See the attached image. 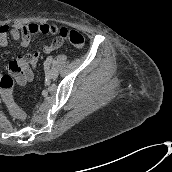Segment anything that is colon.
<instances>
[{
	"mask_svg": "<svg viewBox=\"0 0 172 172\" xmlns=\"http://www.w3.org/2000/svg\"><path fill=\"white\" fill-rule=\"evenodd\" d=\"M37 31L57 33L60 38L65 39L66 41H68L70 44H72L77 48L82 47L85 43L84 36L76 30L68 29L66 27H61L57 29L51 26H39L36 24L27 25L22 28L21 34L23 40L26 41L31 37L33 33ZM11 71H12L11 74H7L0 77V96L3 102L5 103V105L8 107L11 115H13L18 119H22L25 117V114L14 101L12 94L15 83L12 74H15L18 70L11 69Z\"/></svg>",
	"mask_w": 172,
	"mask_h": 172,
	"instance_id": "1",
	"label": "colon"
}]
</instances>
